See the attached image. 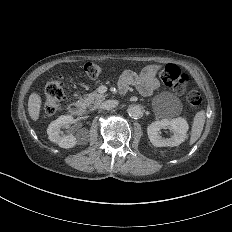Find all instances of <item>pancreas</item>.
Listing matches in <instances>:
<instances>
[{
    "instance_id": "cf45deb5",
    "label": "pancreas",
    "mask_w": 232,
    "mask_h": 232,
    "mask_svg": "<svg viewBox=\"0 0 232 232\" xmlns=\"http://www.w3.org/2000/svg\"><path fill=\"white\" fill-rule=\"evenodd\" d=\"M105 97L106 95L93 92L89 94L86 98L79 100V102L83 103L87 108H89V110H94L100 105Z\"/></svg>"
}]
</instances>
